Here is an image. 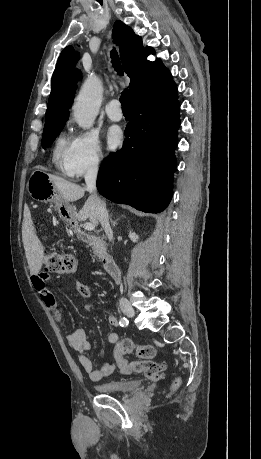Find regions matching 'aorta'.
<instances>
[{
    "mask_svg": "<svg viewBox=\"0 0 261 459\" xmlns=\"http://www.w3.org/2000/svg\"><path fill=\"white\" fill-rule=\"evenodd\" d=\"M102 84L95 77H89L83 84L73 105V115L77 124L86 129L93 125L102 101Z\"/></svg>",
    "mask_w": 261,
    "mask_h": 459,
    "instance_id": "aorta-1",
    "label": "aorta"
}]
</instances>
